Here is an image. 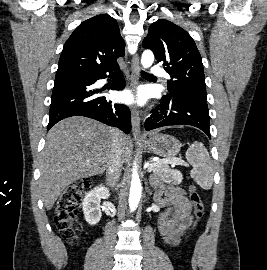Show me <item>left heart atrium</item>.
Listing matches in <instances>:
<instances>
[{
	"label": "left heart atrium",
	"instance_id": "39dd6f15",
	"mask_svg": "<svg viewBox=\"0 0 267 270\" xmlns=\"http://www.w3.org/2000/svg\"><path fill=\"white\" fill-rule=\"evenodd\" d=\"M121 99L127 103L141 102L143 100V95L141 92L134 93L127 91L121 94Z\"/></svg>",
	"mask_w": 267,
	"mask_h": 270
}]
</instances>
